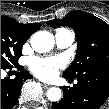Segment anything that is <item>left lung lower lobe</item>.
Instances as JSON below:
<instances>
[{
	"mask_svg": "<svg viewBox=\"0 0 109 109\" xmlns=\"http://www.w3.org/2000/svg\"><path fill=\"white\" fill-rule=\"evenodd\" d=\"M77 84L72 88L63 87V98L53 103L54 109H99L109 96V67L92 66L75 77Z\"/></svg>",
	"mask_w": 109,
	"mask_h": 109,
	"instance_id": "left-lung-lower-lobe-1",
	"label": "left lung lower lobe"
}]
</instances>
